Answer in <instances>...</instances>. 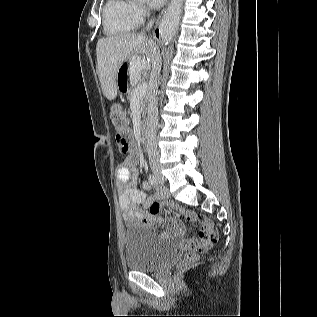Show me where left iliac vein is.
I'll return each instance as SVG.
<instances>
[{
    "instance_id": "1",
    "label": "left iliac vein",
    "mask_w": 317,
    "mask_h": 317,
    "mask_svg": "<svg viewBox=\"0 0 317 317\" xmlns=\"http://www.w3.org/2000/svg\"><path fill=\"white\" fill-rule=\"evenodd\" d=\"M159 183H163V178L159 177Z\"/></svg>"
}]
</instances>
